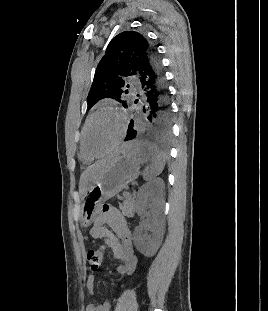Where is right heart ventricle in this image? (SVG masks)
Here are the masks:
<instances>
[{
	"label": "right heart ventricle",
	"mask_w": 268,
	"mask_h": 311,
	"mask_svg": "<svg viewBox=\"0 0 268 311\" xmlns=\"http://www.w3.org/2000/svg\"><path fill=\"white\" fill-rule=\"evenodd\" d=\"M80 157L82 159V161L84 163H91L93 158H91L90 156L87 155V153L84 151L83 147H82V144H81V147H80Z\"/></svg>",
	"instance_id": "right-heart-ventricle-1"
}]
</instances>
